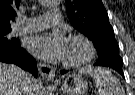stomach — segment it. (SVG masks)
Instances as JSON below:
<instances>
[{
  "label": "stomach",
  "instance_id": "0dacf381",
  "mask_svg": "<svg viewBox=\"0 0 135 95\" xmlns=\"http://www.w3.org/2000/svg\"><path fill=\"white\" fill-rule=\"evenodd\" d=\"M88 88V82L78 74L67 76L63 82L61 89L66 95H84Z\"/></svg>",
  "mask_w": 135,
  "mask_h": 95
}]
</instances>
